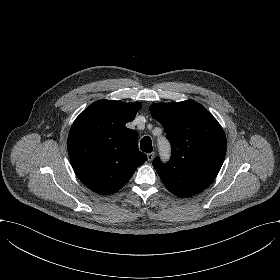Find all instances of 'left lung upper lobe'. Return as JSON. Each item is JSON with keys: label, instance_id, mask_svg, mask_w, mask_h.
Returning <instances> with one entry per match:
<instances>
[{"label": "left lung upper lobe", "instance_id": "5c2ea615", "mask_svg": "<svg viewBox=\"0 0 280 280\" xmlns=\"http://www.w3.org/2000/svg\"><path fill=\"white\" fill-rule=\"evenodd\" d=\"M172 147L168 163L159 157L153 166L165 187L178 197L206 189L217 176L226 153V137L217 120L201 104L187 100L150 107Z\"/></svg>", "mask_w": 280, "mask_h": 280}]
</instances>
